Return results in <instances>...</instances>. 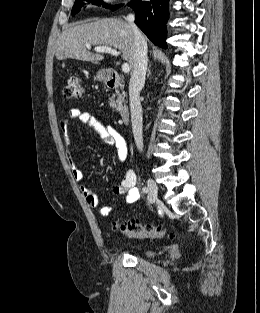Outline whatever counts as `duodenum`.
Listing matches in <instances>:
<instances>
[{
    "mask_svg": "<svg viewBox=\"0 0 260 313\" xmlns=\"http://www.w3.org/2000/svg\"><path fill=\"white\" fill-rule=\"evenodd\" d=\"M105 83L108 88L118 89L121 86V78L116 71H114L113 69H109L106 71ZM119 113H120L121 121L124 124L129 123L130 112L128 108H121Z\"/></svg>",
    "mask_w": 260,
    "mask_h": 313,
    "instance_id": "410a0bca",
    "label": "duodenum"
}]
</instances>
